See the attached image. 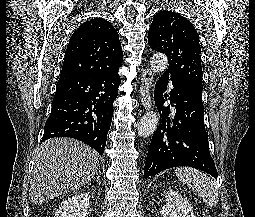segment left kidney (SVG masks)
<instances>
[{"label":"left kidney","mask_w":255,"mask_h":217,"mask_svg":"<svg viewBox=\"0 0 255 217\" xmlns=\"http://www.w3.org/2000/svg\"><path fill=\"white\" fill-rule=\"evenodd\" d=\"M165 201L160 211L162 217H195L191 205L178 192L168 191Z\"/></svg>","instance_id":"left-kidney-1"}]
</instances>
